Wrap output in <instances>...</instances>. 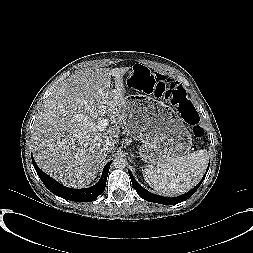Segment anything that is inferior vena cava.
Returning <instances> with one entry per match:
<instances>
[{"label": "inferior vena cava", "mask_w": 253, "mask_h": 253, "mask_svg": "<svg viewBox=\"0 0 253 253\" xmlns=\"http://www.w3.org/2000/svg\"><path fill=\"white\" fill-rule=\"evenodd\" d=\"M111 149H112V147H110L109 144L104 145V150H105V151H109V150H111Z\"/></svg>", "instance_id": "inferior-vena-cava-1"}]
</instances>
